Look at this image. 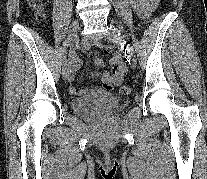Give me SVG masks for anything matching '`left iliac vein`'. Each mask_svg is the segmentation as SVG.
<instances>
[{"mask_svg":"<svg viewBox=\"0 0 207 179\" xmlns=\"http://www.w3.org/2000/svg\"><path fill=\"white\" fill-rule=\"evenodd\" d=\"M106 27L111 30L105 34L106 39L113 42V43L123 45L124 41L121 39L120 31L117 28H115L114 25H111L110 23H107ZM123 48H126V46L123 45ZM126 57L128 58V61L131 62V66L133 68H135L136 67V57H135L132 49L130 51H126Z\"/></svg>","mask_w":207,"mask_h":179,"instance_id":"left-iliac-vein-1","label":"left iliac vein"}]
</instances>
